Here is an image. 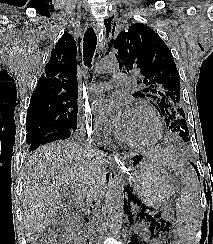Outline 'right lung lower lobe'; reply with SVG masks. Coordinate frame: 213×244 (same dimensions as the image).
Here are the masks:
<instances>
[{"instance_id": "right-lung-lower-lobe-1", "label": "right lung lower lobe", "mask_w": 213, "mask_h": 244, "mask_svg": "<svg viewBox=\"0 0 213 244\" xmlns=\"http://www.w3.org/2000/svg\"><path fill=\"white\" fill-rule=\"evenodd\" d=\"M73 131L71 130H62V131H56L53 133H50L40 139H38L37 141L30 143V152L34 151L35 149H37L39 146H42L44 144L56 141V140H62V139H67L71 136ZM106 152V151H105Z\"/></svg>"}]
</instances>
